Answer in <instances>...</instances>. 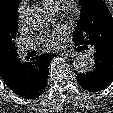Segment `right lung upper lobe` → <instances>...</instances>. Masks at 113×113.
<instances>
[{"label": "right lung upper lobe", "mask_w": 113, "mask_h": 113, "mask_svg": "<svg viewBox=\"0 0 113 113\" xmlns=\"http://www.w3.org/2000/svg\"><path fill=\"white\" fill-rule=\"evenodd\" d=\"M18 0H0V76L5 81L17 65L14 40L18 26Z\"/></svg>", "instance_id": "right-lung-upper-lobe-1"}]
</instances>
